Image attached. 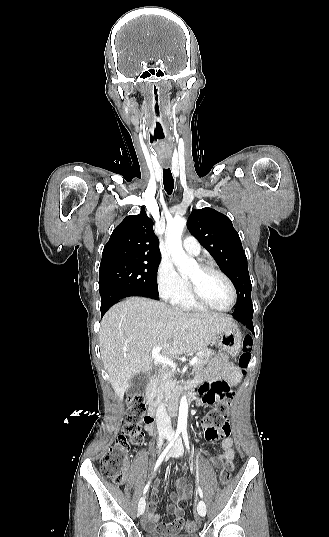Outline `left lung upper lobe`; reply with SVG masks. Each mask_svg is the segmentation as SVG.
<instances>
[{
    "label": "left lung upper lobe",
    "instance_id": "1",
    "mask_svg": "<svg viewBox=\"0 0 329 537\" xmlns=\"http://www.w3.org/2000/svg\"><path fill=\"white\" fill-rule=\"evenodd\" d=\"M188 228L233 282L237 292L234 312L253 311L247 258L231 220L212 208L194 209Z\"/></svg>",
    "mask_w": 329,
    "mask_h": 537
}]
</instances>
